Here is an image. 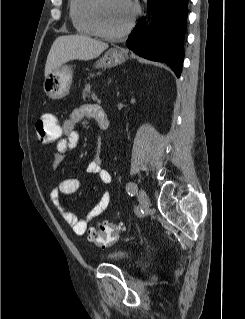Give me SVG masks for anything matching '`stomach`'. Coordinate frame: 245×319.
Segmentation results:
<instances>
[{"label": "stomach", "mask_w": 245, "mask_h": 319, "mask_svg": "<svg viewBox=\"0 0 245 319\" xmlns=\"http://www.w3.org/2000/svg\"><path fill=\"white\" fill-rule=\"evenodd\" d=\"M127 54L119 49H110L96 63L98 67H112L127 59ZM73 72L70 66L61 65L45 77L43 89L46 95L54 100L62 99L69 94Z\"/></svg>", "instance_id": "1"}]
</instances>
